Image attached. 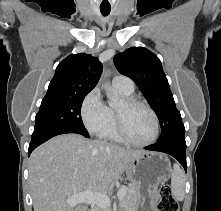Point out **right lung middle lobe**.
Returning a JSON list of instances; mask_svg holds the SVG:
<instances>
[{"label":"right lung middle lobe","mask_w":221,"mask_h":211,"mask_svg":"<svg viewBox=\"0 0 221 211\" xmlns=\"http://www.w3.org/2000/svg\"><path fill=\"white\" fill-rule=\"evenodd\" d=\"M87 94H46L36 114L32 136L58 129L87 132L81 118V105Z\"/></svg>","instance_id":"obj_1"}]
</instances>
